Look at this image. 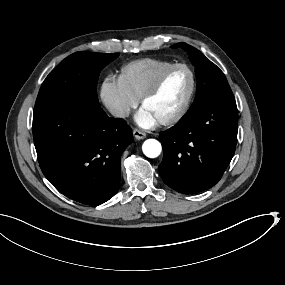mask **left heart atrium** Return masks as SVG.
<instances>
[{
	"mask_svg": "<svg viewBox=\"0 0 285 285\" xmlns=\"http://www.w3.org/2000/svg\"><path fill=\"white\" fill-rule=\"evenodd\" d=\"M136 122L144 127H155L159 119L144 106H142L135 115Z\"/></svg>",
	"mask_w": 285,
	"mask_h": 285,
	"instance_id": "1",
	"label": "left heart atrium"
}]
</instances>
